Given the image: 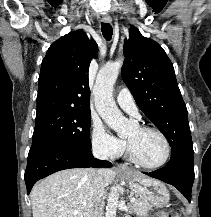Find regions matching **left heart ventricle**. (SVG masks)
Returning <instances> with one entry per match:
<instances>
[{
	"instance_id": "left-heart-ventricle-1",
	"label": "left heart ventricle",
	"mask_w": 211,
	"mask_h": 217,
	"mask_svg": "<svg viewBox=\"0 0 211 217\" xmlns=\"http://www.w3.org/2000/svg\"><path fill=\"white\" fill-rule=\"evenodd\" d=\"M137 157L146 164H157L165 156V144L162 138L152 131H141L138 127L134 128L127 135Z\"/></svg>"
}]
</instances>
